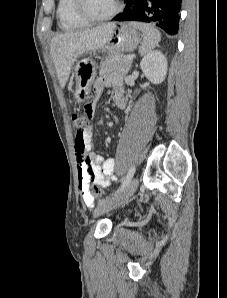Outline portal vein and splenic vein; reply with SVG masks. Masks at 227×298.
<instances>
[{"label": "portal vein and splenic vein", "instance_id": "18ae733b", "mask_svg": "<svg viewBox=\"0 0 227 298\" xmlns=\"http://www.w3.org/2000/svg\"><path fill=\"white\" fill-rule=\"evenodd\" d=\"M127 59H128L129 61H132V60H133V57H132L131 55H128V56H127Z\"/></svg>", "mask_w": 227, "mask_h": 298}]
</instances>
